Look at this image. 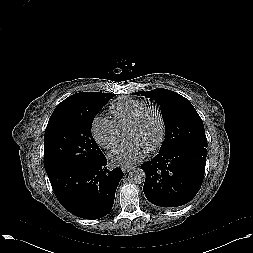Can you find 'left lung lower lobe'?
Here are the masks:
<instances>
[{"mask_svg":"<svg viewBox=\"0 0 253 253\" xmlns=\"http://www.w3.org/2000/svg\"><path fill=\"white\" fill-rule=\"evenodd\" d=\"M206 147L180 144L144 162L146 198L162 208H173L190 202L198 193L204 177Z\"/></svg>","mask_w":253,"mask_h":253,"instance_id":"0a47b994","label":"left lung lower lobe"}]
</instances>
